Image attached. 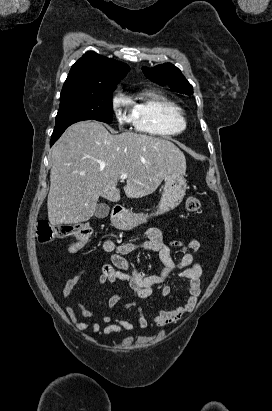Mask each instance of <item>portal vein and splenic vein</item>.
<instances>
[{
    "label": "portal vein and splenic vein",
    "mask_w": 272,
    "mask_h": 411,
    "mask_svg": "<svg viewBox=\"0 0 272 411\" xmlns=\"http://www.w3.org/2000/svg\"><path fill=\"white\" fill-rule=\"evenodd\" d=\"M126 178H127V174H126V173L120 174V179H121V180H125Z\"/></svg>",
    "instance_id": "1"
}]
</instances>
